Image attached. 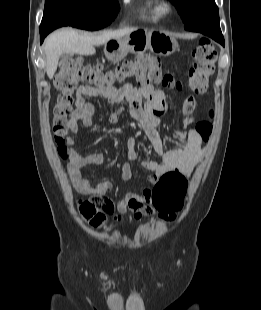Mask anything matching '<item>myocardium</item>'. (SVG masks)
<instances>
[{"mask_svg":"<svg viewBox=\"0 0 261 310\" xmlns=\"http://www.w3.org/2000/svg\"><path fill=\"white\" fill-rule=\"evenodd\" d=\"M159 6H160V10H161L162 14H168L173 9L172 3L170 1H167V0H161L159 2Z\"/></svg>","mask_w":261,"mask_h":310,"instance_id":"myocardium-1","label":"myocardium"}]
</instances>
